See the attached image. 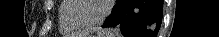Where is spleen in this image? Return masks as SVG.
Returning a JSON list of instances; mask_svg holds the SVG:
<instances>
[{"label": "spleen", "instance_id": "spleen-1", "mask_svg": "<svg viewBox=\"0 0 219 37\" xmlns=\"http://www.w3.org/2000/svg\"><path fill=\"white\" fill-rule=\"evenodd\" d=\"M113 35H115L113 37H121V35H120V33H119V31L117 29L113 30Z\"/></svg>", "mask_w": 219, "mask_h": 37}]
</instances>
